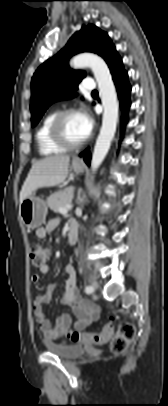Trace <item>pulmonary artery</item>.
I'll return each instance as SVG.
<instances>
[{
  "mask_svg": "<svg viewBox=\"0 0 168 406\" xmlns=\"http://www.w3.org/2000/svg\"><path fill=\"white\" fill-rule=\"evenodd\" d=\"M96 87L95 82L92 78H85L83 81V88L87 91H92Z\"/></svg>",
  "mask_w": 168,
  "mask_h": 406,
  "instance_id": "1",
  "label": "pulmonary artery"
}]
</instances>
